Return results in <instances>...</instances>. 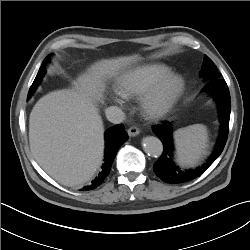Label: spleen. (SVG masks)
<instances>
[{"instance_id": "obj_1", "label": "spleen", "mask_w": 250, "mask_h": 250, "mask_svg": "<svg viewBox=\"0 0 250 250\" xmlns=\"http://www.w3.org/2000/svg\"><path fill=\"white\" fill-rule=\"evenodd\" d=\"M174 142L179 165L194 166L206 154L208 131L203 124H194L174 132Z\"/></svg>"}]
</instances>
